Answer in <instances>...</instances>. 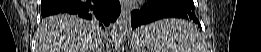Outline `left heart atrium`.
Segmentation results:
<instances>
[{
    "mask_svg": "<svg viewBox=\"0 0 261 52\" xmlns=\"http://www.w3.org/2000/svg\"><path fill=\"white\" fill-rule=\"evenodd\" d=\"M124 3L128 4V5H130V4H138L139 1H137V0H125Z\"/></svg>",
    "mask_w": 261,
    "mask_h": 52,
    "instance_id": "39dd6f15",
    "label": "left heart atrium"
}]
</instances>
